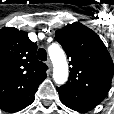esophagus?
Masks as SVG:
<instances>
[{"mask_svg": "<svg viewBox=\"0 0 114 114\" xmlns=\"http://www.w3.org/2000/svg\"><path fill=\"white\" fill-rule=\"evenodd\" d=\"M46 63H47V66H48L49 70L51 71L52 70V62H51V60L48 59Z\"/></svg>", "mask_w": 114, "mask_h": 114, "instance_id": "1", "label": "esophagus"}]
</instances>
